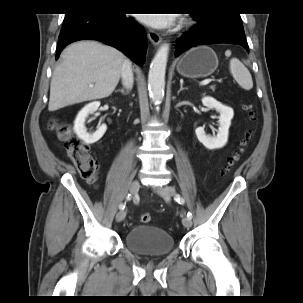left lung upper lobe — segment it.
Returning a JSON list of instances; mask_svg holds the SVG:
<instances>
[{"label":"left lung upper lobe","instance_id":"obj_1","mask_svg":"<svg viewBox=\"0 0 303 303\" xmlns=\"http://www.w3.org/2000/svg\"><path fill=\"white\" fill-rule=\"evenodd\" d=\"M192 16H201L210 24H242L240 14L223 11H214L205 14H192Z\"/></svg>","mask_w":303,"mask_h":303}]
</instances>
